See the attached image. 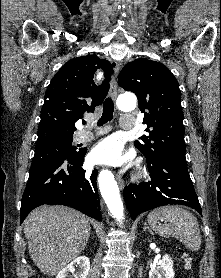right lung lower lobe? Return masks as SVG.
<instances>
[{
	"label": "right lung lower lobe",
	"mask_w": 221,
	"mask_h": 278,
	"mask_svg": "<svg viewBox=\"0 0 221 278\" xmlns=\"http://www.w3.org/2000/svg\"><path fill=\"white\" fill-rule=\"evenodd\" d=\"M85 153L55 160L29 172L21 200V223L34 208L43 204L70 206L102 220L96 182L98 171L89 174L83 170Z\"/></svg>",
	"instance_id": "98d812e1"
}]
</instances>
